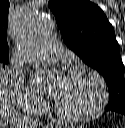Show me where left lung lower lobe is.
I'll return each mask as SVG.
<instances>
[{"instance_id": "0a47b994", "label": "left lung lower lobe", "mask_w": 125, "mask_h": 128, "mask_svg": "<svg viewBox=\"0 0 125 128\" xmlns=\"http://www.w3.org/2000/svg\"><path fill=\"white\" fill-rule=\"evenodd\" d=\"M107 111H115L121 114L125 115V108H112V109H106Z\"/></svg>"}]
</instances>
